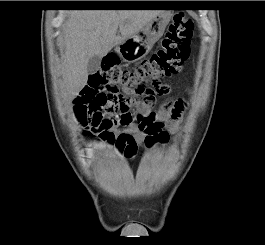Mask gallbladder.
I'll list each match as a JSON object with an SVG mask.
<instances>
[{"mask_svg":"<svg viewBox=\"0 0 265 245\" xmlns=\"http://www.w3.org/2000/svg\"><path fill=\"white\" fill-rule=\"evenodd\" d=\"M100 63H101V57L98 55H94L92 56L87 64V72L88 74H94L95 72H97V70L100 67Z\"/></svg>","mask_w":265,"mask_h":245,"instance_id":"bac80fb5","label":"gallbladder"}]
</instances>
